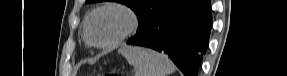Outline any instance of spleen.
I'll return each mask as SVG.
<instances>
[{
	"mask_svg": "<svg viewBox=\"0 0 287 76\" xmlns=\"http://www.w3.org/2000/svg\"><path fill=\"white\" fill-rule=\"evenodd\" d=\"M119 53L137 69L135 76H168L174 71V65L166 55L151 49L124 46Z\"/></svg>",
	"mask_w": 287,
	"mask_h": 76,
	"instance_id": "3e777b00",
	"label": "spleen"
}]
</instances>
